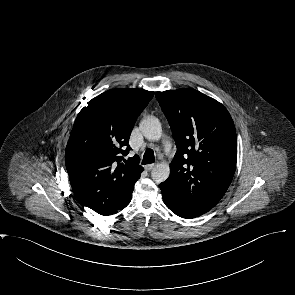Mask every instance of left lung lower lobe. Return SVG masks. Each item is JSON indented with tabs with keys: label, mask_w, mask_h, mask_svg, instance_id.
I'll return each instance as SVG.
<instances>
[{
	"label": "left lung lower lobe",
	"mask_w": 295,
	"mask_h": 295,
	"mask_svg": "<svg viewBox=\"0 0 295 295\" xmlns=\"http://www.w3.org/2000/svg\"><path fill=\"white\" fill-rule=\"evenodd\" d=\"M160 189L162 191V197L166 206L176 215L182 218H195L200 216L196 213H193L191 210L188 209L183 203H181L180 198L178 195L170 189L166 184L161 183Z\"/></svg>",
	"instance_id": "1"
}]
</instances>
